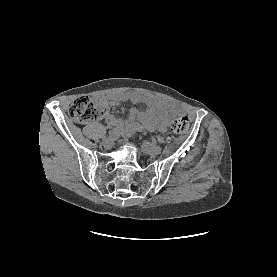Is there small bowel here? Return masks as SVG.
Here are the masks:
<instances>
[{"label": "small bowel", "instance_id": "1", "mask_svg": "<svg viewBox=\"0 0 277 277\" xmlns=\"http://www.w3.org/2000/svg\"><path fill=\"white\" fill-rule=\"evenodd\" d=\"M98 100L107 107L115 106L120 102L127 100L133 102H145L148 105L145 110L131 108L129 115V127L131 129L143 126L149 130H164L168 125L170 113L174 111L173 106L167 101L153 96L141 95L136 92L113 93L102 96ZM105 123L108 127H116L120 129L124 125L122 119L115 117L109 112H107L105 116Z\"/></svg>", "mask_w": 277, "mask_h": 277}]
</instances>
